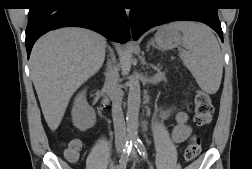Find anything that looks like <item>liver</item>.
<instances>
[{
	"instance_id": "6515ba94",
	"label": "liver",
	"mask_w": 252,
	"mask_h": 169,
	"mask_svg": "<svg viewBox=\"0 0 252 169\" xmlns=\"http://www.w3.org/2000/svg\"><path fill=\"white\" fill-rule=\"evenodd\" d=\"M106 47L103 36L84 28L57 29L34 44L31 77L52 131L59 127L72 95L102 67Z\"/></svg>"
}]
</instances>
